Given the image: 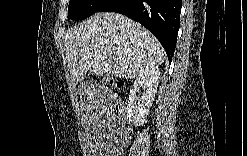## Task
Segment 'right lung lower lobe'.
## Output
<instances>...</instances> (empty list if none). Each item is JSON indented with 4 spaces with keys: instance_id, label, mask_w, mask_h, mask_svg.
Wrapping results in <instances>:
<instances>
[{
    "instance_id": "1",
    "label": "right lung lower lobe",
    "mask_w": 247,
    "mask_h": 156,
    "mask_svg": "<svg viewBox=\"0 0 247 156\" xmlns=\"http://www.w3.org/2000/svg\"><path fill=\"white\" fill-rule=\"evenodd\" d=\"M180 0H107L98 12L123 14L145 26L159 40L169 59L177 42Z\"/></svg>"
}]
</instances>
